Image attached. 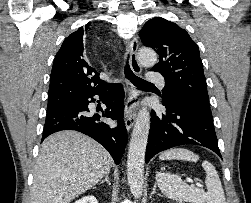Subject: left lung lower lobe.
Instances as JSON below:
<instances>
[{
  "label": "left lung lower lobe",
  "mask_w": 251,
  "mask_h": 203,
  "mask_svg": "<svg viewBox=\"0 0 251 203\" xmlns=\"http://www.w3.org/2000/svg\"><path fill=\"white\" fill-rule=\"evenodd\" d=\"M163 106L166 112L151 113L146 163L163 150L186 144L207 147L221 157L210 109L187 98L163 100Z\"/></svg>",
  "instance_id": "0a47b994"
}]
</instances>
